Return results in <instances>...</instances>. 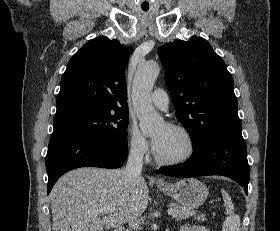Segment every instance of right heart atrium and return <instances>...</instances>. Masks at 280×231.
Listing matches in <instances>:
<instances>
[{"label":"right heart atrium","instance_id":"d8ad5b80","mask_svg":"<svg viewBox=\"0 0 280 231\" xmlns=\"http://www.w3.org/2000/svg\"><path fill=\"white\" fill-rule=\"evenodd\" d=\"M127 148L139 156H147L149 153V144L134 123L129 124L127 128Z\"/></svg>","mask_w":280,"mask_h":231}]
</instances>
